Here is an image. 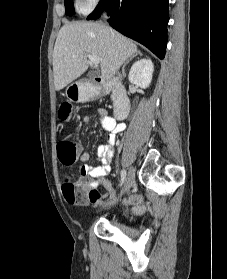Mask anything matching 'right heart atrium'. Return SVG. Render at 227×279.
Listing matches in <instances>:
<instances>
[{
    "instance_id": "right-heart-atrium-1",
    "label": "right heart atrium",
    "mask_w": 227,
    "mask_h": 279,
    "mask_svg": "<svg viewBox=\"0 0 227 279\" xmlns=\"http://www.w3.org/2000/svg\"><path fill=\"white\" fill-rule=\"evenodd\" d=\"M102 0H76L77 6L86 12L93 10Z\"/></svg>"
}]
</instances>
